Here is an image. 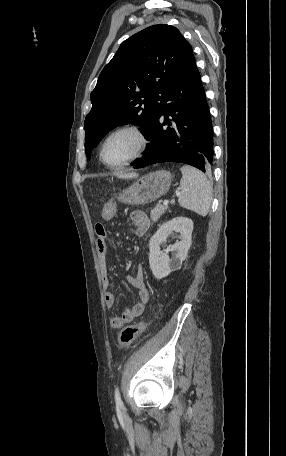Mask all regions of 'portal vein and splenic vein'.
<instances>
[{
  "mask_svg": "<svg viewBox=\"0 0 286 456\" xmlns=\"http://www.w3.org/2000/svg\"><path fill=\"white\" fill-rule=\"evenodd\" d=\"M168 203H169V201H168V200H164V202H163V205H164V206H167V205H168Z\"/></svg>",
  "mask_w": 286,
  "mask_h": 456,
  "instance_id": "portal-vein-and-splenic-vein-1",
  "label": "portal vein and splenic vein"
}]
</instances>
